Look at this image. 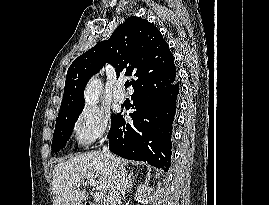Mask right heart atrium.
Instances as JSON below:
<instances>
[{"mask_svg":"<svg viewBox=\"0 0 269 205\" xmlns=\"http://www.w3.org/2000/svg\"><path fill=\"white\" fill-rule=\"evenodd\" d=\"M109 129V115L97 107L83 109L75 118L72 126L76 141L83 146H90L105 138Z\"/></svg>","mask_w":269,"mask_h":205,"instance_id":"obj_1","label":"right heart atrium"}]
</instances>
